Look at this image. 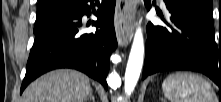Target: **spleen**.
Masks as SVG:
<instances>
[{
  "mask_svg": "<svg viewBox=\"0 0 221 102\" xmlns=\"http://www.w3.org/2000/svg\"><path fill=\"white\" fill-rule=\"evenodd\" d=\"M164 96L170 102H217L211 84L191 72H175L162 83Z\"/></svg>",
  "mask_w": 221,
  "mask_h": 102,
  "instance_id": "3e777b00",
  "label": "spleen"
}]
</instances>
